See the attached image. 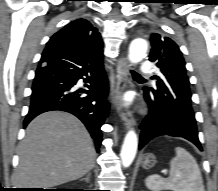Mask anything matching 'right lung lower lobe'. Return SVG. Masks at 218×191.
Segmentation results:
<instances>
[{
  "label": "right lung lower lobe",
  "mask_w": 218,
  "mask_h": 191,
  "mask_svg": "<svg viewBox=\"0 0 218 191\" xmlns=\"http://www.w3.org/2000/svg\"><path fill=\"white\" fill-rule=\"evenodd\" d=\"M84 79L88 90L76 89ZM107 78L102 52L80 55L57 47H46L32 86L31 104L24 127L37 115L53 110L77 116L94 139L96 149L102 141L100 127L108 114L103 101Z\"/></svg>",
  "instance_id": "1"
}]
</instances>
